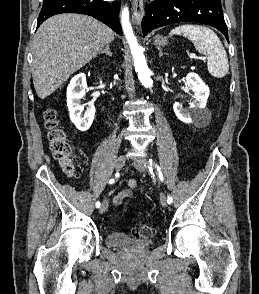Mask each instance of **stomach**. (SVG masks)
<instances>
[{
  "mask_svg": "<svg viewBox=\"0 0 259 294\" xmlns=\"http://www.w3.org/2000/svg\"><path fill=\"white\" fill-rule=\"evenodd\" d=\"M154 44H155L157 47H161V46H164V45L167 44V40H166V38H164L163 36L157 35V36L154 38Z\"/></svg>",
  "mask_w": 259,
  "mask_h": 294,
  "instance_id": "0dacf381",
  "label": "stomach"
}]
</instances>
